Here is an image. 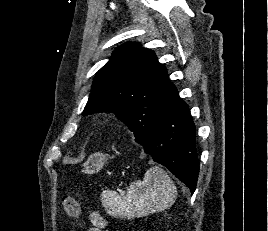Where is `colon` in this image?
<instances>
[{
  "label": "colon",
  "mask_w": 268,
  "mask_h": 231,
  "mask_svg": "<svg viewBox=\"0 0 268 231\" xmlns=\"http://www.w3.org/2000/svg\"><path fill=\"white\" fill-rule=\"evenodd\" d=\"M63 210L71 218H78L80 215L79 202L72 196H64L62 199Z\"/></svg>",
  "instance_id": "colon-1"
}]
</instances>
